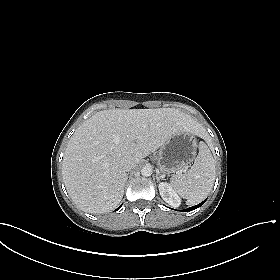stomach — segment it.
<instances>
[{
  "instance_id": "0dacf381",
  "label": "stomach",
  "mask_w": 280,
  "mask_h": 280,
  "mask_svg": "<svg viewBox=\"0 0 280 280\" xmlns=\"http://www.w3.org/2000/svg\"><path fill=\"white\" fill-rule=\"evenodd\" d=\"M196 134L182 131L173 135L157 153V166L161 173L179 172L187 167L196 156Z\"/></svg>"
}]
</instances>
